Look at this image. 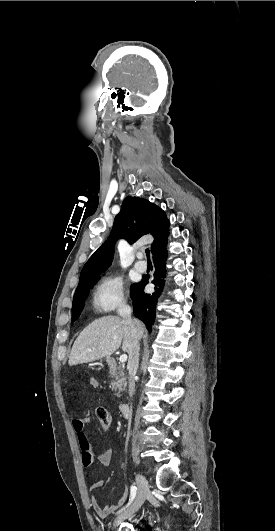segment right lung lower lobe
Instances as JSON below:
<instances>
[{"mask_svg": "<svg viewBox=\"0 0 275 531\" xmlns=\"http://www.w3.org/2000/svg\"><path fill=\"white\" fill-rule=\"evenodd\" d=\"M166 245L167 240L152 252L155 265L152 283L155 285V292L153 294L144 293V287L148 284L149 277L143 278L141 282L134 284L130 292L133 300L134 315L145 323L149 331H151L155 320L156 304L164 286L163 278L166 273L167 259Z\"/></svg>", "mask_w": 275, "mask_h": 531, "instance_id": "1", "label": "right lung lower lobe"}]
</instances>
